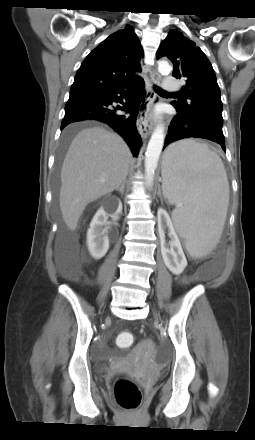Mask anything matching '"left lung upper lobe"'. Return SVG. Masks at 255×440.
<instances>
[{
	"label": "left lung upper lobe",
	"instance_id": "obj_1",
	"mask_svg": "<svg viewBox=\"0 0 255 440\" xmlns=\"http://www.w3.org/2000/svg\"><path fill=\"white\" fill-rule=\"evenodd\" d=\"M168 57L174 66L172 75L184 78L186 85L178 102H172L177 112L185 115H206L222 118L220 89L213 67L196 44L180 31H170L161 43L156 57Z\"/></svg>",
	"mask_w": 255,
	"mask_h": 440
}]
</instances>
